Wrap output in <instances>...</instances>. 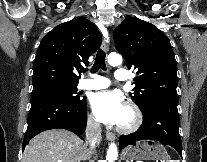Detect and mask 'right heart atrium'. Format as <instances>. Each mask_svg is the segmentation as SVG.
<instances>
[{"label": "right heart atrium", "mask_w": 207, "mask_h": 162, "mask_svg": "<svg viewBox=\"0 0 207 162\" xmlns=\"http://www.w3.org/2000/svg\"><path fill=\"white\" fill-rule=\"evenodd\" d=\"M88 121L92 126H97L98 125L96 119L93 116H89Z\"/></svg>", "instance_id": "obj_1"}]
</instances>
